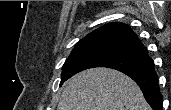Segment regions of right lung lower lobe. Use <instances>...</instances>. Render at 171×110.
Returning <instances> with one entry per match:
<instances>
[{"label":"right lung lower lobe","instance_id":"1","mask_svg":"<svg viewBox=\"0 0 171 110\" xmlns=\"http://www.w3.org/2000/svg\"><path fill=\"white\" fill-rule=\"evenodd\" d=\"M123 73L139 85L146 101L153 110H162L163 97L159 90L158 78L154 67L146 71H127Z\"/></svg>","mask_w":171,"mask_h":110}]
</instances>
